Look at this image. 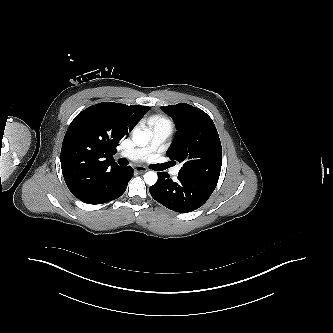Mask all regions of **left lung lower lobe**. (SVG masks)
<instances>
[{"label":"left lung lower lobe","mask_w":333,"mask_h":333,"mask_svg":"<svg viewBox=\"0 0 333 333\" xmlns=\"http://www.w3.org/2000/svg\"><path fill=\"white\" fill-rule=\"evenodd\" d=\"M217 182L178 174L174 182L166 172L149 188L151 196L170 210L187 213L201 207L213 193Z\"/></svg>","instance_id":"1"}]
</instances>
